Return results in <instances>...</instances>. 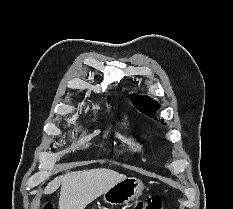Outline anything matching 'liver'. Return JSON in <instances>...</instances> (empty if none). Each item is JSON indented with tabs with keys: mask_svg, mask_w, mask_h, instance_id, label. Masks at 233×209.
<instances>
[{
	"mask_svg": "<svg viewBox=\"0 0 233 209\" xmlns=\"http://www.w3.org/2000/svg\"><path fill=\"white\" fill-rule=\"evenodd\" d=\"M126 176L106 168L67 172L48 183L44 194L61 185L59 209H85L114 184Z\"/></svg>",
	"mask_w": 233,
	"mask_h": 209,
	"instance_id": "6515ba94",
	"label": "liver"
}]
</instances>
